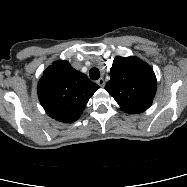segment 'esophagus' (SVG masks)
Returning <instances> with one entry per match:
<instances>
[{
	"instance_id": "34e87169",
	"label": "esophagus",
	"mask_w": 187,
	"mask_h": 187,
	"mask_svg": "<svg viewBox=\"0 0 187 187\" xmlns=\"http://www.w3.org/2000/svg\"><path fill=\"white\" fill-rule=\"evenodd\" d=\"M97 84L100 87H104L105 86V80L103 78H100V79L97 80Z\"/></svg>"
}]
</instances>
